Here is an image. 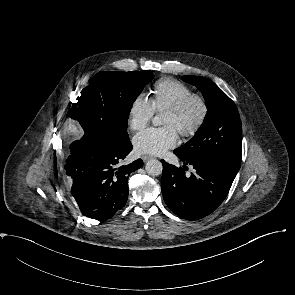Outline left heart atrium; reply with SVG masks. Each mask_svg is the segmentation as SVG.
Wrapping results in <instances>:
<instances>
[{"label":"left heart atrium","mask_w":295,"mask_h":295,"mask_svg":"<svg viewBox=\"0 0 295 295\" xmlns=\"http://www.w3.org/2000/svg\"><path fill=\"white\" fill-rule=\"evenodd\" d=\"M178 143V133L172 127L148 128L133 138L136 152L140 154L162 155Z\"/></svg>","instance_id":"left-heart-atrium-1"}]
</instances>
